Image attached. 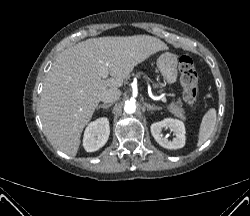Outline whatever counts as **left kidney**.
<instances>
[{
	"label": "left kidney",
	"mask_w": 250,
	"mask_h": 216,
	"mask_svg": "<svg viewBox=\"0 0 250 216\" xmlns=\"http://www.w3.org/2000/svg\"><path fill=\"white\" fill-rule=\"evenodd\" d=\"M169 128L176 136L172 141H169L162 135V129ZM152 136L159 145L166 149H179L185 145V126L180 120L166 118L162 121L155 122L150 127Z\"/></svg>",
	"instance_id": "left-kidney-1"
}]
</instances>
